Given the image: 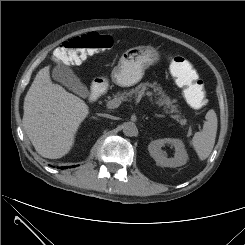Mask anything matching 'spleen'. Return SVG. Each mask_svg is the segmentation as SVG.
Instances as JSON below:
<instances>
[{"label":"spleen","mask_w":245,"mask_h":245,"mask_svg":"<svg viewBox=\"0 0 245 245\" xmlns=\"http://www.w3.org/2000/svg\"><path fill=\"white\" fill-rule=\"evenodd\" d=\"M203 129L196 132L192 139V146L200 160H205L211 154L217 133V115L214 110H209L205 116Z\"/></svg>","instance_id":"obj_1"}]
</instances>
